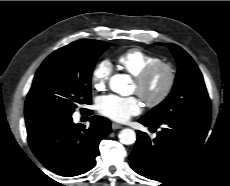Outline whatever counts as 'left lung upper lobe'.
<instances>
[{
    "instance_id": "5c2ea615",
    "label": "left lung upper lobe",
    "mask_w": 230,
    "mask_h": 186,
    "mask_svg": "<svg viewBox=\"0 0 230 186\" xmlns=\"http://www.w3.org/2000/svg\"><path fill=\"white\" fill-rule=\"evenodd\" d=\"M178 63L171 94L143 118L160 123L177 116L210 114V100L202 74L194 60L178 45L167 44Z\"/></svg>"
}]
</instances>
